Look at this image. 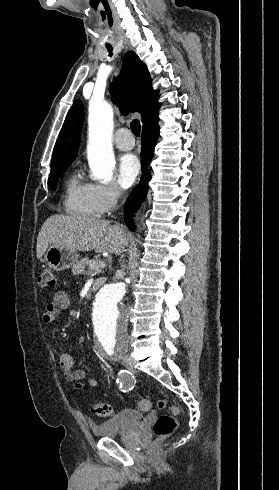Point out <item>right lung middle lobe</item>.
Returning a JSON list of instances; mask_svg holds the SVG:
<instances>
[{
	"label": "right lung middle lobe",
	"instance_id": "dd1d6c3e",
	"mask_svg": "<svg viewBox=\"0 0 279 490\" xmlns=\"http://www.w3.org/2000/svg\"><path fill=\"white\" fill-rule=\"evenodd\" d=\"M68 167H69V165L63 166V167H60V168H57V169H54V170H51L50 176H49V186L52 189H55L56 188V184H57L58 178L64 173V171Z\"/></svg>",
	"mask_w": 279,
	"mask_h": 490
}]
</instances>
